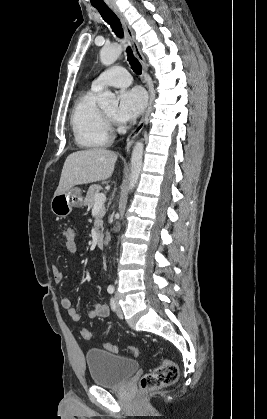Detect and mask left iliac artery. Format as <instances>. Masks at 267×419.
I'll return each instance as SVG.
<instances>
[{
    "label": "left iliac artery",
    "mask_w": 267,
    "mask_h": 419,
    "mask_svg": "<svg viewBox=\"0 0 267 419\" xmlns=\"http://www.w3.org/2000/svg\"><path fill=\"white\" fill-rule=\"evenodd\" d=\"M110 305H111L112 310H115V309H116V305H115V300H114V298H112V299L110 300Z\"/></svg>",
    "instance_id": "obj_1"
}]
</instances>
